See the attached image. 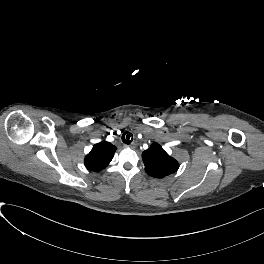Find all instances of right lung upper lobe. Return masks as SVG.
Masks as SVG:
<instances>
[{
    "label": "right lung upper lobe",
    "instance_id": "1",
    "mask_svg": "<svg viewBox=\"0 0 264 264\" xmlns=\"http://www.w3.org/2000/svg\"><path fill=\"white\" fill-rule=\"evenodd\" d=\"M115 151L116 147L109 142L102 141L97 143L85 157L84 164L87 169L99 172L108 166Z\"/></svg>",
    "mask_w": 264,
    "mask_h": 264
}]
</instances>
